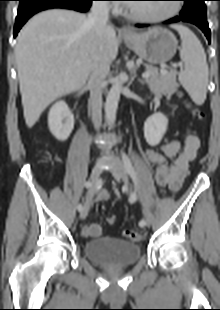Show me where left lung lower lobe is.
Returning a JSON list of instances; mask_svg holds the SVG:
<instances>
[{
	"label": "left lung lower lobe",
	"instance_id": "0a47b994",
	"mask_svg": "<svg viewBox=\"0 0 220 310\" xmlns=\"http://www.w3.org/2000/svg\"><path fill=\"white\" fill-rule=\"evenodd\" d=\"M187 22V23H192L194 25H196L197 27H199L203 33L205 34V36L208 39V42H211V32L210 29L208 27V22L206 18H200V17H183V16H176L170 20L165 21V24H171V23H177V22ZM145 26H149V25H145V24H138L137 27H145Z\"/></svg>",
	"mask_w": 220,
	"mask_h": 310
}]
</instances>
